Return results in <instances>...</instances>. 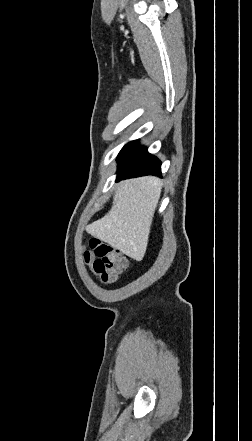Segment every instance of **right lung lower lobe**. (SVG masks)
<instances>
[{"instance_id": "1", "label": "right lung lower lobe", "mask_w": 252, "mask_h": 441, "mask_svg": "<svg viewBox=\"0 0 252 441\" xmlns=\"http://www.w3.org/2000/svg\"><path fill=\"white\" fill-rule=\"evenodd\" d=\"M117 180L144 175L161 176V162L137 141L128 143L119 153Z\"/></svg>"}]
</instances>
